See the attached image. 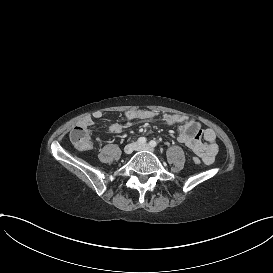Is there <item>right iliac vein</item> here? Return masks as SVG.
<instances>
[{"label":"right iliac vein","instance_id":"1","mask_svg":"<svg viewBox=\"0 0 273 273\" xmlns=\"http://www.w3.org/2000/svg\"><path fill=\"white\" fill-rule=\"evenodd\" d=\"M137 146H138L137 143H130V144H128V145L125 146L124 152H125L126 154H131V153L135 150V148H136Z\"/></svg>","mask_w":273,"mask_h":273}]
</instances>
